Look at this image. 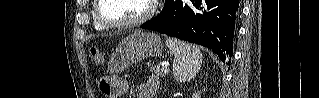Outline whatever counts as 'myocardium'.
<instances>
[{
  "mask_svg": "<svg viewBox=\"0 0 319 98\" xmlns=\"http://www.w3.org/2000/svg\"><path fill=\"white\" fill-rule=\"evenodd\" d=\"M102 1L103 0L96 1V5L94 8V17L101 26H103L104 28H110V29L131 28V27H135L145 23L154 15L157 8V3H158V1L156 0H146L147 2L146 10L140 16L128 21L111 22L106 20L101 14Z\"/></svg>",
  "mask_w": 319,
  "mask_h": 98,
  "instance_id": "myocardium-1",
  "label": "myocardium"
}]
</instances>
